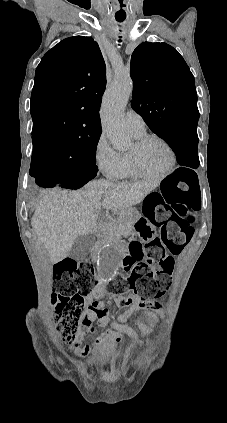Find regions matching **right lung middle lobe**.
Returning a JSON list of instances; mask_svg holds the SVG:
<instances>
[{
  "label": "right lung middle lobe",
  "instance_id": "1",
  "mask_svg": "<svg viewBox=\"0 0 227 423\" xmlns=\"http://www.w3.org/2000/svg\"><path fill=\"white\" fill-rule=\"evenodd\" d=\"M99 138L100 134H94L69 146L33 150L30 175H40V167L44 162L57 160L60 165H66L77 173L95 176L98 171L95 153Z\"/></svg>",
  "mask_w": 227,
  "mask_h": 423
}]
</instances>
